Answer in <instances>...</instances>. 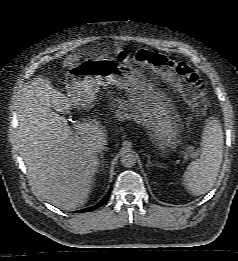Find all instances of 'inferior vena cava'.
Instances as JSON below:
<instances>
[{"label": "inferior vena cava", "instance_id": "inferior-vena-cava-1", "mask_svg": "<svg viewBox=\"0 0 238 261\" xmlns=\"http://www.w3.org/2000/svg\"><path fill=\"white\" fill-rule=\"evenodd\" d=\"M105 148H107L105 146V143H99L97 146H96V150L100 153L102 150H104Z\"/></svg>", "mask_w": 238, "mask_h": 261}]
</instances>
